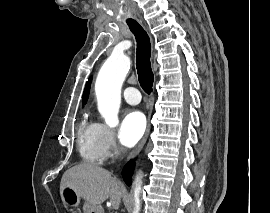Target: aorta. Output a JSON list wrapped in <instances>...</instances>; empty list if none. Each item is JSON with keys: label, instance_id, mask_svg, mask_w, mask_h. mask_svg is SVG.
<instances>
[{"label": "aorta", "instance_id": "762f6f07", "mask_svg": "<svg viewBox=\"0 0 270 213\" xmlns=\"http://www.w3.org/2000/svg\"><path fill=\"white\" fill-rule=\"evenodd\" d=\"M130 69V58L124 54H112L101 67L95 92L98 110L107 125L114 127L119 123L118 111L121 103V87ZM141 177L137 176L134 188L135 207L133 213H139Z\"/></svg>", "mask_w": 270, "mask_h": 213}]
</instances>
